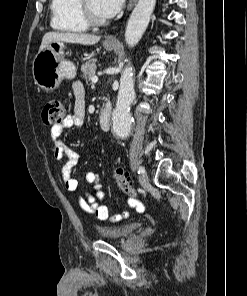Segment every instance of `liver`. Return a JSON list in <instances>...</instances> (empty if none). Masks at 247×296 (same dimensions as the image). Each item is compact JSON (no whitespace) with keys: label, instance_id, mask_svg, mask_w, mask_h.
I'll return each instance as SVG.
<instances>
[{"label":"liver","instance_id":"6515ba94","mask_svg":"<svg viewBox=\"0 0 247 296\" xmlns=\"http://www.w3.org/2000/svg\"><path fill=\"white\" fill-rule=\"evenodd\" d=\"M100 36L83 33L48 32L43 36L39 51L45 49L51 42L77 43L82 45H94L100 40Z\"/></svg>","mask_w":247,"mask_h":296}]
</instances>
